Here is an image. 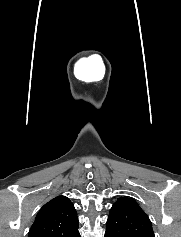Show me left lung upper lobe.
<instances>
[{"label": "left lung upper lobe", "instance_id": "obj_1", "mask_svg": "<svg viewBox=\"0 0 181 237\" xmlns=\"http://www.w3.org/2000/svg\"><path fill=\"white\" fill-rule=\"evenodd\" d=\"M106 235L111 237H155L146 213L133 198L121 197L110 209Z\"/></svg>", "mask_w": 181, "mask_h": 237}]
</instances>
